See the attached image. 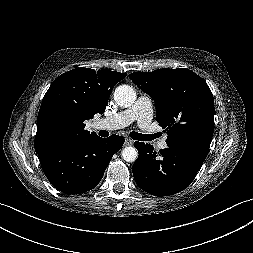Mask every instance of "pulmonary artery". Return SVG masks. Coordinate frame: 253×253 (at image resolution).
Segmentation results:
<instances>
[{
  "label": "pulmonary artery",
  "instance_id": "e3ab8cb5",
  "mask_svg": "<svg viewBox=\"0 0 253 253\" xmlns=\"http://www.w3.org/2000/svg\"><path fill=\"white\" fill-rule=\"evenodd\" d=\"M152 114L153 106L151 99L147 96H141L131 107L111 117L103 119L97 124V126L107 129H118L136 121L140 128L147 129L151 124ZM156 145L159 149H166L168 147L167 139H160Z\"/></svg>",
  "mask_w": 253,
  "mask_h": 253
}]
</instances>
